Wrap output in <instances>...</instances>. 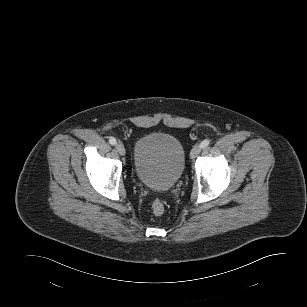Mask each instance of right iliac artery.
<instances>
[{
  "mask_svg": "<svg viewBox=\"0 0 307 307\" xmlns=\"http://www.w3.org/2000/svg\"><path fill=\"white\" fill-rule=\"evenodd\" d=\"M109 143H110L111 145H115V144L117 143V141H116V139H115L114 137H110Z\"/></svg>",
  "mask_w": 307,
  "mask_h": 307,
  "instance_id": "1",
  "label": "right iliac artery"
}]
</instances>
